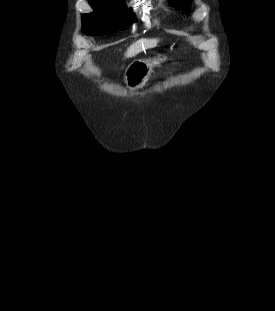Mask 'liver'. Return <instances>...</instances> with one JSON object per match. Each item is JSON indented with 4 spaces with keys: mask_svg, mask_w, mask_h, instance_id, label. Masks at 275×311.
Masks as SVG:
<instances>
[{
    "mask_svg": "<svg viewBox=\"0 0 275 311\" xmlns=\"http://www.w3.org/2000/svg\"><path fill=\"white\" fill-rule=\"evenodd\" d=\"M157 42H158V39L138 40L132 45H130V47H128L125 53V57L127 58L134 57L135 55H137L138 53H140L141 51L145 49H150V48L155 47Z\"/></svg>",
    "mask_w": 275,
    "mask_h": 311,
    "instance_id": "liver-1",
    "label": "liver"
}]
</instances>
